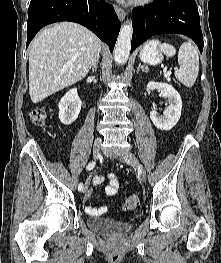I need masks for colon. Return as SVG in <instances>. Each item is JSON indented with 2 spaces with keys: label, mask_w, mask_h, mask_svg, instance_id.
<instances>
[{
  "label": "colon",
  "mask_w": 221,
  "mask_h": 263,
  "mask_svg": "<svg viewBox=\"0 0 221 263\" xmlns=\"http://www.w3.org/2000/svg\"><path fill=\"white\" fill-rule=\"evenodd\" d=\"M31 118L33 122L37 125H42L46 119V112L44 108H36L31 113ZM139 198L136 195L128 196L123 201V209L126 211H132L138 208Z\"/></svg>",
  "instance_id": "obj_1"
}]
</instances>
